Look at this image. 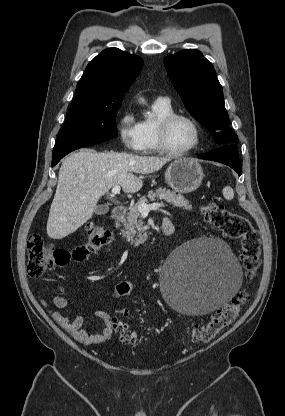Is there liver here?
I'll list each match as a JSON object with an SVG mask.
<instances>
[{
	"instance_id": "1",
	"label": "liver",
	"mask_w": 285,
	"mask_h": 416,
	"mask_svg": "<svg viewBox=\"0 0 285 416\" xmlns=\"http://www.w3.org/2000/svg\"><path fill=\"white\" fill-rule=\"evenodd\" d=\"M170 158L135 156V154H98L82 148L62 162L56 194L51 204L47 234L62 240L76 232L92 218L98 200L113 186H121L125 194H135L143 186L134 174H153Z\"/></svg>"
}]
</instances>
